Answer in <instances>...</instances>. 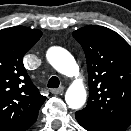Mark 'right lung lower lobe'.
I'll list each match as a JSON object with an SVG mask.
<instances>
[{"instance_id": "98d812e1", "label": "right lung lower lobe", "mask_w": 131, "mask_h": 131, "mask_svg": "<svg viewBox=\"0 0 131 131\" xmlns=\"http://www.w3.org/2000/svg\"><path fill=\"white\" fill-rule=\"evenodd\" d=\"M37 118H35L34 120L28 122L26 125H24L23 128L18 129V130H13V131H26L35 121Z\"/></svg>"}]
</instances>
